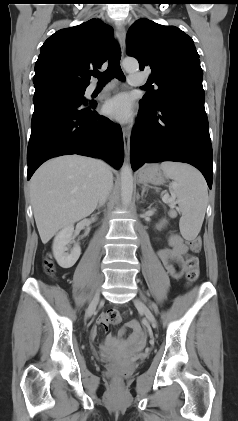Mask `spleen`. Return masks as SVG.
Masks as SVG:
<instances>
[{"mask_svg":"<svg viewBox=\"0 0 238 421\" xmlns=\"http://www.w3.org/2000/svg\"><path fill=\"white\" fill-rule=\"evenodd\" d=\"M161 169L173 180L169 188L174 191L182 212L181 234L185 239L195 238L201 230L208 202V190L202 174L189 164L162 162Z\"/></svg>","mask_w":238,"mask_h":421,"instance_id":"3e777b00","label":"spleen"}]
</instances>
